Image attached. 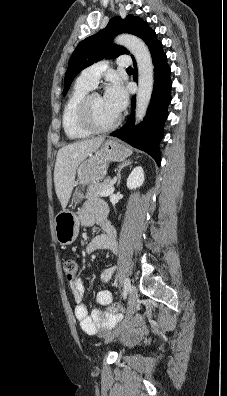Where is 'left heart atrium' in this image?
I'll use <instances>...</instances> for the list:
<instances>
[{
	"instance_id": "left-heart-atrium-1",
	"label": "left heart atrium",
	"mask_w": 227,
	"mask_h": 396,
	"mask_svg": "<svg viewBox=\"0 0 227 396\" xmlns=\"http://www.w3.org/2000/svg\"><path fill=\"white\" fill-rule=\"evenodd\" d=\"M103 100L113 113L119 115L125 109L128 97L123 85L118 80H112L106 88Z\"/></svg>"
}]
</instances>
